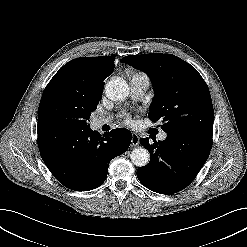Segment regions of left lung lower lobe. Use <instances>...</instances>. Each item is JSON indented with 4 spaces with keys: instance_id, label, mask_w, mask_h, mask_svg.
Instances as JSON below:
<instances>
[{
    "instance_id": "0a47b994",
    "label": "left lung lower lobe",
    "mask_w": 247,
    "mask_h": 247,
    "mask_svg": "<svg viewBox=\"0 0 247 247\" xmlns=\"http://www.w3.org/2000/svg\"><path fill=\"white\" fill-rule=\"evenodd\" d=\"M140 142L150 153V162L137 170V177L148 189L173 194L186 188L206 162L212 137L196 133H167L164 141Z\"/></svg>"
}]
</instances>
